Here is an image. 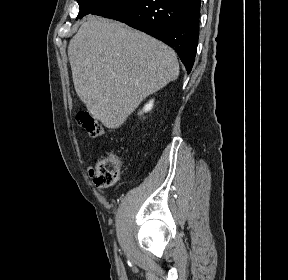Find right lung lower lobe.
Returning <instances> with one entry per match:
<instances>
[{"label": "right lung lower lobe", "instance_id": "98d812e1", "mask_svg": "<svg viewBox=\"0 0 288 280\" xmlns=\"http://www.w3.org/2000/svg\"><path fill=\"white\" fill-rule=\"evenodd\" d=\"M200 0H110L91 14L126 23L163 41L188 73L195 61Z\"/></svg>", "mask_w": 288, "mask_h": 280}]
</instances>
